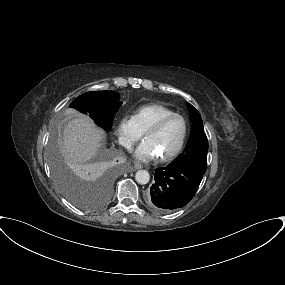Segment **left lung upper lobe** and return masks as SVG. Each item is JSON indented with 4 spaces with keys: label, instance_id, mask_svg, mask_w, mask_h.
<instances>
[{
    "label": "left lung upper lobe",
    "instance_id": "obj_1",
    "mask_svg": "<svg viewBox=\"0 0 285 285\" xmlns=\"http://www.w3.org/2000/svg\"><path fill=\"white\" fill-rule=\"evenodd\" d=\"M187 107L189 109L190 120L193 123L191 134L183 153L171 165L190 168L204 174L207 167V137L199 112L190 104H187Z\"/></svg>",
    "mask_w": 285,
    "mask_h": 285
}]
</instances>
